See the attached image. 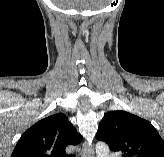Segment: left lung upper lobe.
I'll return each mask as SVG.
<instances>
[{
  "label": "left lung upper lobe",
  "instance_id": "1",
  "mask_svg": "<svg viewBox=\"0 0 164 157\" xmlns=\"http://www.w3.org/2000/svg\"><path fill=\"white\" fill-rule=\"evenodd\" d=\"M96 137L121 157H164V140L153 125L126 111L107 112Z\"/></svg>",
  "mask_w": 164,
  "mask_h": 157
}]
</instances>
